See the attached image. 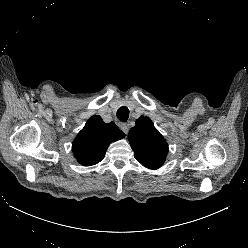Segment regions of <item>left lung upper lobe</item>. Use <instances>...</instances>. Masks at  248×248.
Listing matches in <instances>:
<instances>
[{"label": "left lung upper lobe", "mask_w": 248, "mask_h": 248, "mask_svg": "<svg viewBox=\"0 0 248 248\" xmlns=\"http://www.w3.org/2000/svg\"><path fill=\"white\" fill-rule=\"evenodd\" d=\"M128 137L137 161L149 169L162 166L168 154V145L149 118L141 116L137 119Z\"/></svg>", "instance_id": "5c2ea615"}]
</instances>
